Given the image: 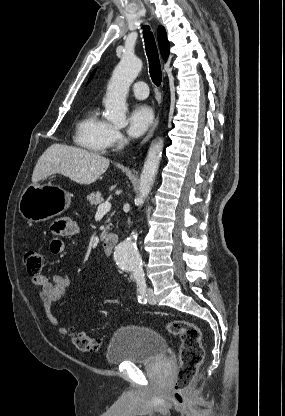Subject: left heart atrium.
I'll list each match as a JSON object with an SVG mask.
<instances>
[{
  "label": "left heart atrium",
  "mask_w": 285,
  "mask_h": 416,
  "mask_svg": "<svg viewBox=\"0 0 285 416\" xmlns=\"http://www.w3.org/2000/svg\"><path fill=\"white\" fill-rule=\"evenodd\" d=\"M153 113L150 107L139 104L133 107L128 116V133L131 137L141 136L150 126Z\"/></svg>",
  "instance_id": "left-heart-atrium-1"
}]
</instances>
